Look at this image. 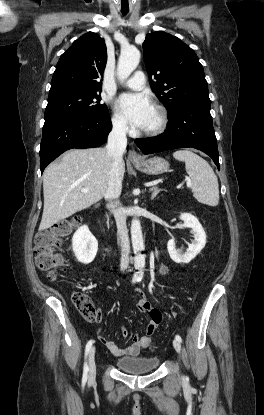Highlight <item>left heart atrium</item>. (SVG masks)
Returning a JSON list of instances; mask_svg holds the SVG:
<instances>
[{
  "mask_svg": "<svg viewBox=\"0 0 264 415\" xmlns=\"http://www.w3.org/2000/svg\"><path fill=\"white\" fill-rule=\"evenodd\" d=\"M120 113L135 127L143 129L154 107L145 94H124L117 102Z\"/></svg>",
  "mask_w": 264,
  "mask_h": 415,
  "instance_id": "left-heart-atrium-1",
  "label": "left heart atrium"
}]
</instances>
